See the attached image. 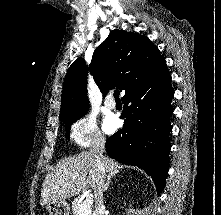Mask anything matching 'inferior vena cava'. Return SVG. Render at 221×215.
Segmentation results:
<instances>
[{"label": "inferior vena cava", "mask_w": 221, "mask_h": 215, "mask_svg": "<svg viewBox=\"0 0 221 215\" xmlns=\"http://www.w3.org/2000/svg\"><path fill=\"white\" fill-rule=\"evenodd\" d=\"M91 152L94 154L97 165H98V170H99V175L96 180V185L94 187V193H95V201L98 206V209L101 211L104 210V203H103V191L105 188V179H106V171H105V166H104V152H105V144L104 141L101 139H96L94 140L91 148Z\"/></svg>", "instance_id": "obj_1"}]
</instances>
